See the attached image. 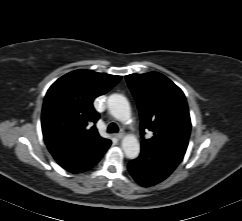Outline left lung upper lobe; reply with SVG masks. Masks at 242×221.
Segmentation results:
<instances>
[{
	"label": "left lung upper lobe",
	"instance_id": "obj_1",
	"mask_svg": "<svg viewBox=\"0 0 242 221\" xmlns=\"http://www.w3.org/2000/svg\"><path fill=\"white\" fill-rule=\"evenodd\" d=\"M126 80L137 101L141 135L146 130L153 132L152 138H143L141 147L180 163L191 130L189 110L182 90L157 72L130 74Z\"/></svg>",
	"mask_w": 242,
	"mask_h": 221
}]
</instances>
